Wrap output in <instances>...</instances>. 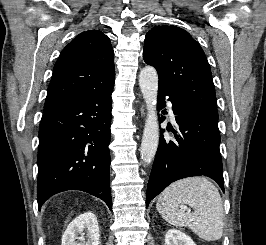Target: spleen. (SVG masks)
I'll return each instance as SVG.
<instances>
[{"label":"spleen","mask_w":266,"mask_h":245,"mask_svg":"<svg viewBox=\"0 0 266 245\" xmlns=\"http://www.w3.org/2000/svg\"><path fill=\"white\" fill-rule=\"evenodd\" d=\"M189 205L194 213L179 211ZM156 209L173 227H189L204 241H218L223 235V203L213 183L206 177H188L169 185L161 193Z\"/></svg>","instance_id":"1"}]
</instances>
